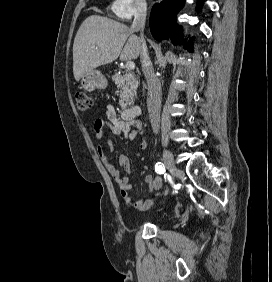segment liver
<instances>
[{"mask_svg": "<svg viewBox=\"0 0 272 282\" xmlns=\"http://www.w3.org/2000/svg\"><path fill=\"white\" fill-rule=\"evenodd\" d=\"M141 54V42L127 25L100 15L87 17L73 44V74L79 81L93 69L118 57L127 61Z\"/></svg>", "mask_w": 272, "mask_h": 282, "instance_id": "6515ba94", "label": "liver"}]
</instances>
